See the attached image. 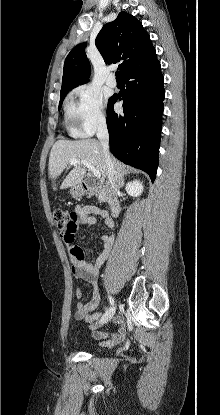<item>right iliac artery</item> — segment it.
<instances>
[{
  "label": "right iliac artery",
  "mask_w": 220,
  "mask_h": 415,
  "mask_svg": "<svg viewBox=\"0 0 220 415\" xmlns=\"http://www.w3.org/2000/svg\"><path fill=\"white\" fill-rule=\"evenodd\" d=\"M109 302H110L111 306L114 305V300H113V298L111 296H109Z\"/></svg>",
  "instance_id": "right-iliac-artery-1"
}]
</instances>
